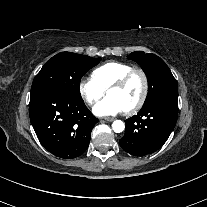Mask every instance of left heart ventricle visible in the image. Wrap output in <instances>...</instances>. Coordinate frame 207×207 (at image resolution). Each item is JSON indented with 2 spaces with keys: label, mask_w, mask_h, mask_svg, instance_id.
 Listing matches in <instances>:
<instances>
[{
  "label": "left heart ventricle",
  "mask_w": 207,
  "mask_h": 207,
  "mask_svg": "<svg viewBox=\"0 0 207 207\" xmlns=\"http://www.w3.org/2000/svg\"><path fill=\"white\" fill-rule=\"evenodd\" d=\"M142 91V78L139 75H135L123 88L109 90L108 96L117 99L123 105L124 109L127 110L138 101Z\"/></svg>",
  "instance_id": "left-heart-ventricle-1"
}]
</instances>
